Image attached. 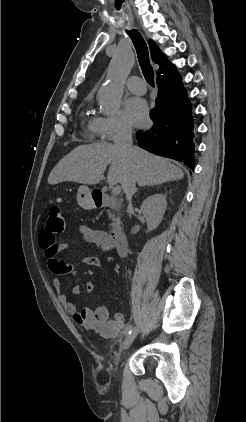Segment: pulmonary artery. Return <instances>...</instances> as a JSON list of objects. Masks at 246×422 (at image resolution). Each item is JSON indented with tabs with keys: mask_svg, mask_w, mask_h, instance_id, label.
I'll use <instances>...</instances> for the list:
<instances>
[{
	"mask_svg": "<svg viewBox=\"0 0 246 422\" xmlns=\"http://www.w3.org/2000/svg\"><path fill=\"white\" fill-rule=\"evenodd\" d=\"M126 85L128 89L135 94L142 95L146 92L145 82L138 76L129 77L126 81Z\"/></svg>",
	"mask_w": 246,
	"mask_h": 422,
	"instance_id": "e3ab8cb5",
	"label": "pulmonary artery"
}]
</instances>
